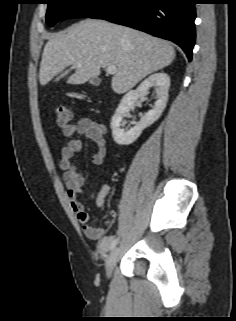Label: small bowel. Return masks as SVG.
<instances>
[{
	"instance_id": "obj_1",
	"label": "small bowel",
	"mask_w": 236,
	"mask_h": 321,
	"mask_svg": "<svg viewBox=\"0 0 236 321\" xmlns=\"http://www.w3.org/2000/svg\"><path fill=\"white\" fill-rule=\"evenodd\" d=\"M107 129L103 124H100L89 117L79 119L74 123H68L62 126V134L67 139L66 144L61 150V159L59 166L63 172V179L67 187V197L72 210L84 234L92 240H100V248L106 251L110 245V238L104 237L106 229L113 223L117 216L116 210H111L109 218L102 226H96L91 220L84 205L78 200L80 194L84 192L87 187L89 175L81 173L72 162L73 156L80 152L83 143L80 139L74 138L75 135H83L87 139L96 144V151L92 156V163L94 165H101L104 162L107 143L105 139ZM110 191L108 184H103L98 190L87 194L89 200H94L96 205L103 209L106 204V197Z\"/></svg>"
}]
</instances>
